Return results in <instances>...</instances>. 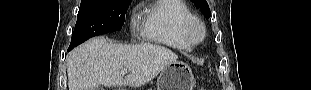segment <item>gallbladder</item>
Here are the masks:
<instances>
[{
	"label": "gallbladder",
	"mask_w": 311,
	"mask_h": 90,
	"mask_svg": "<svg viewBox=\"0 0 311 90\" xmlns=\"http://www.w3.org/2000/svg\"><path fill=\"white\" fill-rule=\"evenodd\" d=\"M95 89L96 90H104L103 86H101V85H98Z\"/></svg>",
	"instance_id": "1"
}]
</instances>
